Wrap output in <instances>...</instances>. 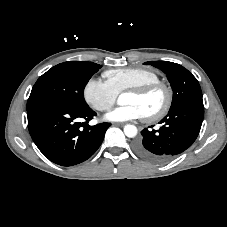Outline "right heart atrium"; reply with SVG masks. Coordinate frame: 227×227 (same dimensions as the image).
Returning <instances> with one entry per match:
<instances>
[{"label":"right heart atrium","mask_w":227,"mask_h":227,"mask_svg":"<svg viewBox=\"0 0 227 227\" xmlns=\"http://www.w3.org/2000/svg\"><path fill=\"white\" fill-rule=\"evenodd\" d=\"M83 96L89 106L97 111H107L116 102L117 93L98 78L89 79L83 89Z\"/></svg>","instance_id":"d8ad5b80"}]
</instances>
